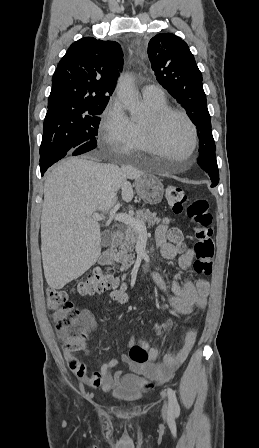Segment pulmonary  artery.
Masks as SVG:
<instances>
[{"label":"pulmonary artery","instance_id":"obj_1","mask_svg":"<svg viewBox=\"0 0 259 448\" xmlns=\"http://www.w3.org/2000/svg\"><path fill=\"white\" fill-rule=\"evenodd\" d=\"M142 96L150 100H162L165 98V90L160 85H146L142 88Z\"/></svg>","mask_w":259,"mask_h":448}]
</instances>
